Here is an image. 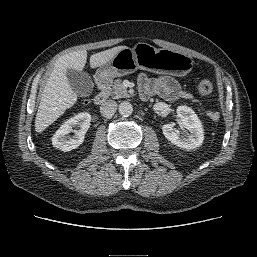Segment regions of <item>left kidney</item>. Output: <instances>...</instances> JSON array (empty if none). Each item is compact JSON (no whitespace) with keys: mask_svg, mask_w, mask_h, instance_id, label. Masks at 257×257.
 <instances>
[{"mask_svg":"<svg viewBox=\"0 0 257 257\" xmlns=\"http://www.w3.org/2000/svg\"><path fill=\"white\" fill-rule=\"evenodd\" d=\"M176 112L181 127L187 132L181 137L174 129V123H168L162 127L164 136L171 143L182 149L191 150L200 147L204 140V132L198 116L187 106H178Z\"/></svg>","mask_w":257,"mask_h":257,"instance_id":"5707ae66","label":"left kidney"}]
</instances>
